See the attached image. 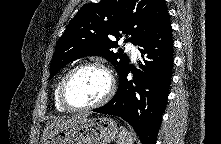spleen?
I'll use <instances>...</instances> for the list:
<instances>
[{"mask_svg":"<svg viewBox=\"0 0 221 144\" xmlns=\"http://www.w3.org/2000/svg\"><path fill=\"white\" fill-rule=\"evenodd\" d=\"M119 138L117 144H133V136L132 134L127 131L124 127L120 129Z\"/></svg>","mask_w":221,"mask_h":144,"instance_id":"3e777b00","label":"spleen"}]
</instances>
